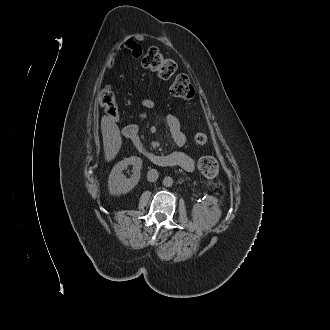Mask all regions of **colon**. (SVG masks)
Listing matches in <instances>:
<instances>
[{
	"label": "colon",
	"instance_id": "colon-1",
	"mask_svg": "<svg viewBox=\"0 0 330 330\" xmlns=\"http://www.w3.org/2000/svg\"><path fill=\"white\" fill-rule=\"evenodd\" d=\"M141 64L145 69L155 72L162 79L172 78L179 70L177 63L164 57L159 48L155 46H151L146 50L142 57ZM170 91L173 96L182 99H190L195 94L191 80L185 74L176 76ZM99 102L109 117L114 119L118 118L119 109L111 88L106 87L101 90ZM194 141L199 145H204L207 142V135L202 132H197L194 135ZM198 168L206 177H214L219 169L217 161L210 156L200 158L198 161Z\"/></svg>",
	"mask_w": 330,
	"mask_h": 330
}]
</instances>
